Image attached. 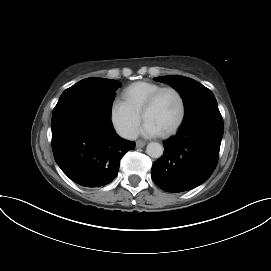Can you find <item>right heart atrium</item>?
Here are the masks:
<instances>
[{"mask_svg":"<svg viewBox=\"0 0 271 271\" xmlns=\"http://www.w3.org/2000/svg\"><path fill=\"white\" fill-rule=\"evenodd\" d=\"M109 120L113 129L123 138H131L141 122V115L133 111L123 100L115 98L110 103Z\"/></svg>","mask_w":271,"mask_h":271,"instance_id":"obj_1","label":"right heart atrium"}]
</instances>
